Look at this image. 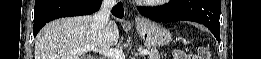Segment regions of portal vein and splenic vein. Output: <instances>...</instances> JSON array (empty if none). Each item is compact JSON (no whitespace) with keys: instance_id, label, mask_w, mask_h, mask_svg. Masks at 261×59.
<instances>
[{"instance_id":"18ae733b","label":"portal vein and splenic vein","mask_w":261,"mask_h":59,"mask_svg":"<svg viewBox=\"0 0 261 59\" xmlns=\"http://www.w3.org/2000/svg\"><path fill=\"white\" fill-rule=\"evenodd\" d=\"M89 51L98 52V53H100L106 57L112 58V59H125V55L122 50L112 49V48L100 50V49L96 48L95 46H85V47H81V48H78L77 50H75V53L80 54V53H85V52H89ZM139 54L140 55H149V51L142 50L139 52Z\"/></svg>"}]
</instances>
